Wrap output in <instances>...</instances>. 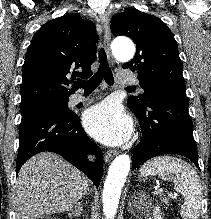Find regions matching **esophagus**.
Instances as JSON below:
<instances>
[{"mask_svg":"<svg viewBox=\"0 0 211 219\" xmlns=\"http://www.w3.org/2000/svg\"><path fill=\"white\" fill-rule=\"evenodd\" d=\"M99 22L103 28L104 47H105L106 53L108 55V58H109L111 65H114L115 61H114V59L111 55V52H110L111 32H110V24H109L108 15L106 13H100L99 14ZM117 154H118V152L116 150H109L106 153L105 160L110 161Z\"/></svg>","mask_w":211,"mask_h":219,"instance_id":"1","label":"esophagus"}]
</instances>
